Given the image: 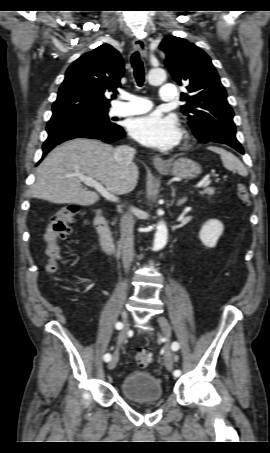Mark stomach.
Returning <instances> with one entry per match:
<instances>
[{
  "label": "stomach",
  "instance_id": "1",
  "mask_svg": "<svg viewBox=\"0 0 270 453\" xmlns=\"http://www.w3.org/2000/svg\"><path fill=\"white\" fill-rule=\"evenodd\" d=\"M158 171L184 179H193L201 174V166L189 158H179L168 168H158Z\"/></svg>",
  "mask_w": 270,
  "mask_h": 453
}]
</instances>
